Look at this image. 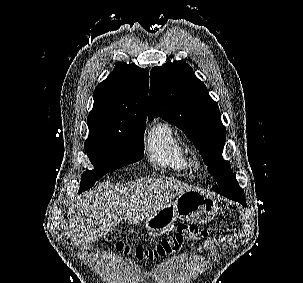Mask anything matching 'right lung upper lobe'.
Instances as JSON below:
<instances>
[{
  "instance_id": "cb5924a9",
  "label": "right lung upper lobe",
  "mask_w": 303,
  "mask_h": 283,
  "mask_svg": "<svg viewBox=\"0 0 303 283\" xmlns=\"http://www.w3.org/2000/svg\"><path fill=\"white\" fill-rule=\"evenodd\" d=\"M149 71L135 64L118 63L94 91L88 116L89 130L118 128L146 121Z\"/></svg>"
}]
</instances>
